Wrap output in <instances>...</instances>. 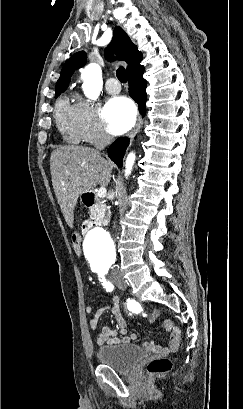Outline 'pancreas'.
Wrapping results in <instances>:
<instances>
[{
    "instance_id": "obj_1",
    "label": "pancreas",
    "mask_w": 243,
    "mask_h": 409,
    "mask_svg": "<svg viewBox=\"0 0 243 409\" xmlns=\"http://www.w3.org/2000/svg\"><path fill=\"white\" fill-rule=\"evenodd\" d=\"M90 217L97 223H106L108 221L109 212L106 211V207L102 203L95 205L90 211Z\"/></svg>"
}]
</instances>
